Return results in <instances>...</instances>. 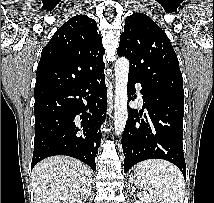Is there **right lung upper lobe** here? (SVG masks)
<instances>
[{
	"label": "right lung upper lobe",
	"instance_id": "right-lung-upper-lobe-1",
	"mask_svg": "<svg viewBox=\"0 0 214 203\" xmlns=\"http://www.w3.org/2000/svg\"><path fill=\"white\" fill-rule=\"evenodd\" d=\"M105 50L94 19H69L43 48L37 67L35 99L79 84L105 67Z\"/></svg>",
	"mask_w": 214,
	"mask_h": 203
}]
</instances>
